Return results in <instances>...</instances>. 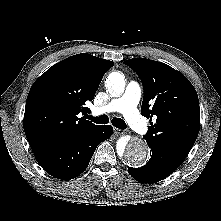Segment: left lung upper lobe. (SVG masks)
<instances>
[{
	"label": "left lung upper lobe",
	"mask_w": 221,
	"mask_h": 221,
	"mask_svg": "<svg viewBox=\"0 0 221 221\" xmlns=\"http://www.w3.org/2000/svg\"><path fill=\"white\" fill-rule=\"evenodd\" d=\"M124 64L142 81V115L156 119L144 136L147 144L160 145L186 157L200 128L199 100L193 85L182 73L158 61L133 58Z\"/></svg>",
	"instance_id": "5c2ea615"
}]
</instances>
